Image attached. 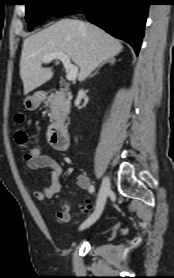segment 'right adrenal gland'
Listing matches in <instances>:
<instances>
[{"label": "right adrenal gland", "mask_w": 174, "mask_h": 278, "mask_svg": "<svg viewBox=\"0 0 174 278\" xmlns=\"http://www.w3.org/2000/svg\"><path fill=\"white\" fill-rule=\"evenodd\" d=\"M114 62H115V59H114V58H110L109 60L105 61L104 63H102L101 65H99V67L97 68V70H96L90 77L94 76V75L97 73V71H98L104 64L109 63V64L112 65V64H114Z\"/></svg>", "instance_id": "right-adrenal-gland-1"}]
</instances>
